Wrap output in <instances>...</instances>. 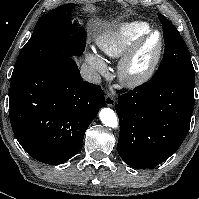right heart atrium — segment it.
<instances>
[{
	"label": "right heart atrium",
	"mask_w": 199,
	"mask_h": 199,
	"mask_svg": "<svg viewBox=\"0 0 199 199\" xmlns=\"http://www.w3.org/2000/svg\"><path fill=\"white\" fill-rule=\"evenodd\" d=\"M88 65L99 73H105L106 66L100 55L95 52L87 54L86 57Z\"/></svg>",
	"instance_id": "d8ad5b80"
}]
</instances>
